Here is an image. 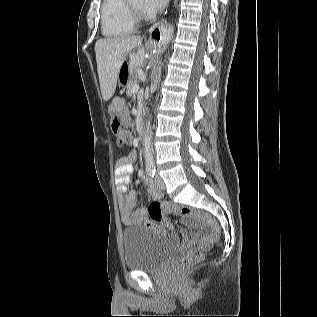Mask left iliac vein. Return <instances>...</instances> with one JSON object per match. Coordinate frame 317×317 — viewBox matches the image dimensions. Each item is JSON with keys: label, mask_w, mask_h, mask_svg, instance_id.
<instances>
[{"label": "left iliac vein", "mask_w": 317, "mask_h": 317, "mask_svg": "<svg viewBox=\"0 0 317 317\" xmlns=\"http://www.w3.org/2000/svg\"><path fill=\"white\" fill-rule=\"evenodd\" d=\"M155 181H156V185H157L158 188H160V189H164L165 188L164 182H163L162 178L159 175L156 176Z\"/></svg>", "instance_id": "1"}]
</instances>
